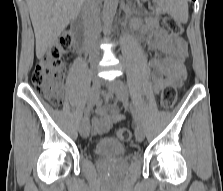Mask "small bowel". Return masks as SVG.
Returning a JSON list of instances; mask_svg holds the SVG:
<instances>
[{
    "mask_svg": "<svg viewBox=\"0 0 223 191\" xmlns=\"http://www.w3.org/2000/svg\"><path fill=\"white\" fill-rule=\"evenodd\" d=\"M135 27L142 31L150 50L164 55L163 59L156 56L149 61L154 92L159 93L167 84L182 85L186 77L184 62L188 56L186 41L166 33L155 18L147 19L144 24L135 23ZM122 119L123 115L117 105L100 106L96 116L91 119L92 134L102 136L113 123Z\"/></svg>",
    "mask_w": 223,
    "mask_h": 191,
    "instance_id": "c3829d8e",
    "label": "small bowel"
}]
</instances>
